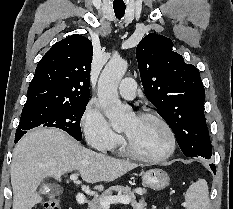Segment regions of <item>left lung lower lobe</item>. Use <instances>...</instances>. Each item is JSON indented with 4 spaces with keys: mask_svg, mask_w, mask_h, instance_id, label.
Wrapping results in <instances>:
<instances>
[{
    "mask_svg": "<svg viewBox=\"0 0 233 209\" xmlns=\"http://www.w3.org/2000/svg\"><path fill=\"white\" fill-rule=\"evenodd\" d=\"M205 159H209V157H206ZM210 167H211L213 173L215 174L216 173V167L214 166V164H210Z\"/></svg>",
    "mask_w": 233,
    "mask_h": 209,
    "instance_id": "1",
    "label": "left lung lower lobe"
}]
</instances>
